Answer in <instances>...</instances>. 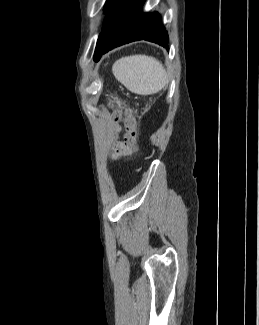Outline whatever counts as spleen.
I'll use <instances>...</instances> for the list:
<instances>
[{
    "mask_svg": "<svg viewBox=\"0 0 259 325\" xmlns=\"http://www.w3.org/2000/svg\"><path fill=\"white\" fill-rule=\"evenodd\" d=\"M115 78L138 95L159 92L168 82L162 63L147 55L122 57L112 66Z\"/></svg>",
    "mask_w": 259,
    "mask_h": 325,
    "instance_id": "obj_1",
    "label": "spleen"
}]
</instances>
